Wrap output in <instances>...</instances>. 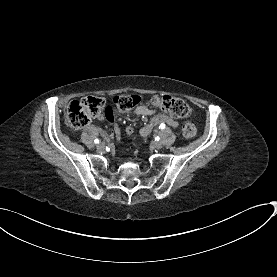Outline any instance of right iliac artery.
I'll return each instance as SVG.
<instances>
[{
  "label": "right iliac artery",
  "instance_id": "obj_1",
  "mask_svg": "<svg viewBox=\"0 0 277 277\" xmlns=\"http://www.w3.org/2000/svg\"><path fill=\"white\" fill-rule=\"evenodd\" d=\"M96 144L100 143V140L99 139H95L94 141Z\"/></svg>",
  "mask_w": 277,
  "mask_h": 277
}]
</instances>
